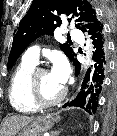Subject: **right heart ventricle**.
I'll use <instances>...</instances> for the list:
<instances>
[{"label": "right heart ventricle", "instance_id": "obj_1", "mask_svg": "<svg viewBox=\"0 0 117 136\" xmlns=\"http://www.w3.org/2000/svg\"><path fill=\"white\" fill-rule=\"evenodd\" d=\"M36 64L23 60L16 68L9 86V101L13 109L22 114H31L38 110L29 97V79Z\"/></svg>", "mask_w": 117, "mask_h": 136}]
</instances>
